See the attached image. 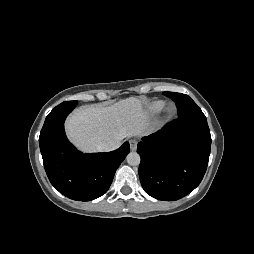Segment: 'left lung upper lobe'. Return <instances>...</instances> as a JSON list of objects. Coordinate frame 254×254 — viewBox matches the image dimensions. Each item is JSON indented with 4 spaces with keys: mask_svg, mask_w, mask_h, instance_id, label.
Returning <instances> with one entry per match:
<instances>
[{
    "mask_svg": "<svg viewBox=\"0 0 254 254\" xmlns=\"http://www.w3.org/2000/svg\"><path fill=\"white\" fill-rule=\"evenodd\" d=\"M163 94L176 103L179 117L195 116L206 118L201 109L188 95L175 92H163Z\"/></svg>",
    "mask_w": 254,
    "mask_h": 254,
    "instance_id": "1",
    "label": "left lung upper lobe"
}]
</instances>
